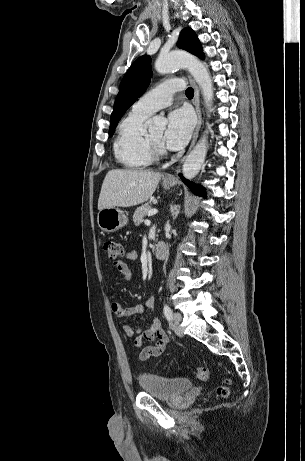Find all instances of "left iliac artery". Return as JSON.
I'll return each instance as SVG.
<instances>
[{
  "label": "left iliac artery",
  "instance_id": "left-iliac-artery-1",
  "mask_svg": "<svg viewBox=\"0 0 305 461\" xmlns=\"http://www.w3.org/2000/svg\"><path fill=\"white\" fill-rule=\"evenodd\" d=\"M163 312L168 321L172 320V311L168 305H164Z\"/></svg>",
  "mask_w": 305,
  "mask_h": 461
}]
</instances>
